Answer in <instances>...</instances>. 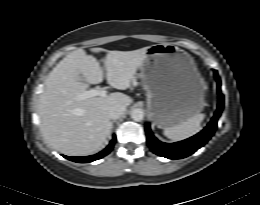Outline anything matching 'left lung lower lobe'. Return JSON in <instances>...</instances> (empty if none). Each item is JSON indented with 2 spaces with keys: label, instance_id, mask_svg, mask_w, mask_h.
<instances>
[{
  "label": "left lung lower lobe",
  "instance_id": "1",
  "mask_svg": "<svg viewBox=\"0 0 260 205\" xmlns=\"http://www.w3.org/2000/svg\"><path fill=\"white\" fill-rule=\"evenodd\" d=\"M214 74L217 81L219 103L217 111L210 123L197 135L176 143H163L157 140L151 132L150 125L147 123L145 127L147 143L155 154L169 159H181L187 157L202 147L214 134L217 120L220 117L224 106V95L220 91L221 80L217 76V71H214Z\"/></svg>",
  "mask_w": 260,
  "mask_h": 205
}]
</instances>
